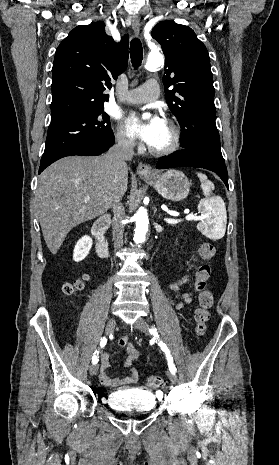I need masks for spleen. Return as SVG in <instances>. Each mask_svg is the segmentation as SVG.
<instances>
[{
	"mask_svg": "<svg viewBox=\"0 0 279 465\" xmlns=\"http://www.w3.org/2000/svg\"><path fill=\"white\" fill-rule=\"evenodd\" d=\"M205 198L199 202L198 210L203 214V220L198 224V229L211 239H221L225 235L227 213L223 199L219 196H211L214 184L202 173H197Z\"/></svg>",
	"mask_w": 279,
	"mask_h": 465,
	"instance_id": "1",
	"label": "spleen"
}]
</instances>
